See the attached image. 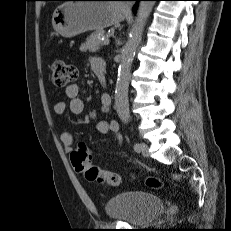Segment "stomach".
Listing matches in <instances>:
<instances>
[{
  "instance_id": "0dacf381",
  "label": "stomach",
  "mask_w": 231,
  "mask_h": 231,
  "mask_svg": "<svg viewBox=\"0 0 231 231\" xmlns=\"http://www.w3.org/2000/svg\"><path fill=\"white\" fill-rule=\"evenodd\" d=\"M124 18L125 11L120 2L73 0L55 9L52 25L57 33L71 38L87 31H101Z\"/></svg>"
}]
</instances>
